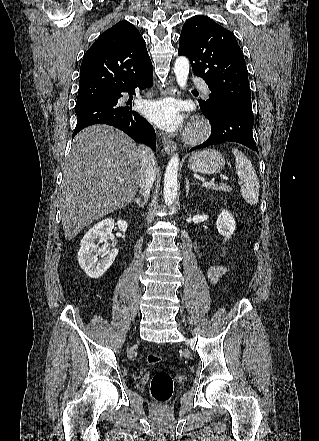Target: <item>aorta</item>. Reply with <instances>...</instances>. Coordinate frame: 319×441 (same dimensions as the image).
Returning <instances> with one entry per match:
<instances>
[{
	"mask_svg": "<svg viewBox=\"0 0 319 441\" xmlns=\"http://www.w3.org/2000/svg\"><path fill=\"white\" fill-rule=\"evenodd\" d=\"M190 63L187 57L179 56L175 61L174 72L180 88L184 89L187 84ZM179 157L174 154L166 167L164 175V200L167 205H172L177 196V175Z\"/></svg>",
	"mask_w": 319,
	"mask_h": 441,
	"instance_id": "1",
	"label": "aorta"
}]
</instances>
